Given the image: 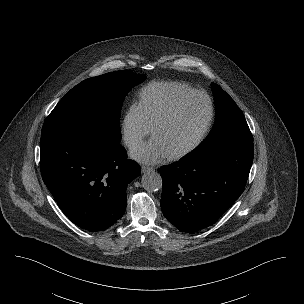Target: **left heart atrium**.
Here are the masks:
<instances>
[{"label": "left heart atrium", "mask_w": 304, "mask_h": 304, "mask_svg": "<svg viewBox=\"0 0 304 304\" xmlns=\"http://www.w3.org/2000/svg\"><path fill=\"white\" fill-rule=\"evenodd\" d=\"M170 156L169 151L156 137L142 144L131 152V157L139 162L147 164L158 163Z\"/></svg>", "instance_id": "39dd6f15"}]
</instances>
